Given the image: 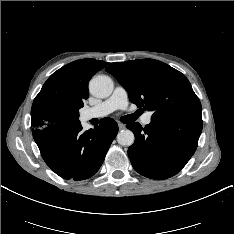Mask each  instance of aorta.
<instances>
[{"mask_svg":"<svg viewBox=\"0 0 234 234\" xmlns=\"http://www.w3.org/2000/svg\"><path fill=\"white\" fill-rule=\"evenodd\" d=\"M90 92L98 98H106L113 92V82L108 76L98 75L90 81ZM134 134L128 129L121 130L117 135V141L122 146H131L134 143Z\"/></svg>","mask_w":234,"mask_h":234,"instance_id":"762f6f07","label":"aorta"}]
</instances>
